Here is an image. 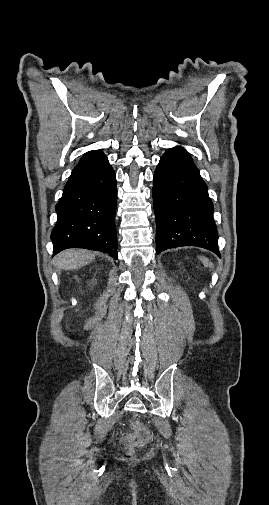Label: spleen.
I'll list each match as a JSON object with an SVG mask.
<instances>
[{"instance_id":"1","label":"spleen","mask_w":269,"mask_h":505,"mask_svg":"<svg viewBox=\"0 0 269 505\" xmlns=\"http://www.w3.org/2000/svg\"><path fill=\"white\" fill-rule=\"evenodd\" d=\"M199 259L202 261V263L204 264V266H205V267H209V268H211V267L213 266L212 262H211V261H209V259H208V258H205V257L200 256V258H199Z\"/></svg>"}]
</instances>
